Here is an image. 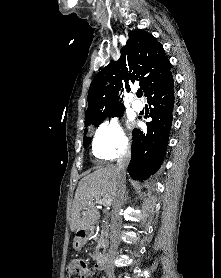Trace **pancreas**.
<instances>
[{
	"label": "pancreas",
	"instance_id": "pancreas-1",
	"mask_svg": "<svg viewBox=\"0 0 221 278\" xmlns=\"http://www.w3.org/2000/svg\"><path fill=\"white\" fill-rule=\"evenodd\" d=\"M109 233V230L105 227L101 231V235H99V238L97 239V247L95 250V253L99 252V249L101 247H105L107 243V234Z\"/></svg>",
	"mask_w": 221,
	"mask_h": 278
}]
</instances>
